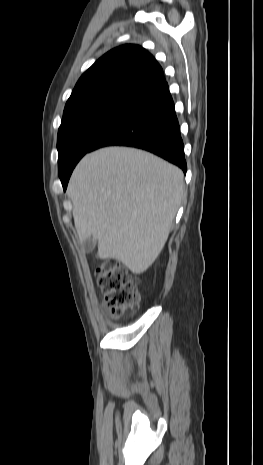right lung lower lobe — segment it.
Masks as SVG:
<instances>
[{
  "label": "right lung lower lobe",
  "instance_id": "98d812e1",
  "mask_svg": "<svg viewBox=\"0 0 263 465\" xmlns=\"http://www.w3.org/2000/svg\"><path fill=\"white\" fill-rule=\"evenodd\" d=\"M114 145L147 150L186 172L184 145L166 82L139 97L96 141L90 152ZM70 175L61 178L64 190Z\"/></svg>",
  "mask_w": 263,
  "mask_h": 465
}]
</instances>
